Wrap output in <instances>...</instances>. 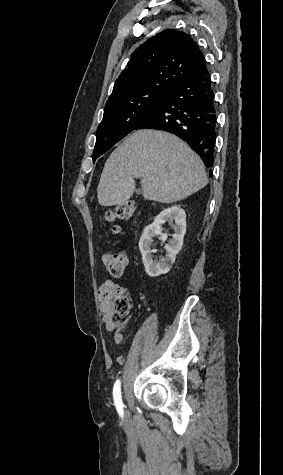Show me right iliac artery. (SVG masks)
Listing matches in <instances>:
<instances>
[{"instance_id": "right-iliac-artery-1", "label": "right iliac artery", "mask_w": 283, "mask_h": 475, "mask_svg": "<svg viewBox=\"0 0 283 475\" xmlns=\"http://www.w3.org/2000/svg\"><path fill=\"white\" fill-rule=\"evenodd\" d=\"M113 398H114V403H115L116 409H117L119 415L122 416L124 414V412H123V403H122V397H121V385H120L119 380H117L114 384Z\"/></svg>"}]
</instances>
